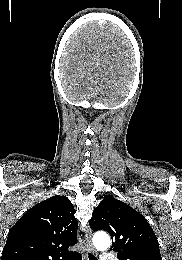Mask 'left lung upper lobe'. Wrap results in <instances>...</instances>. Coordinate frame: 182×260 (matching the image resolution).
I'll return each mask as SVG.
<instances>
[{
    "instance_id": "5c2ea615",
    "label": "left lung upper lobe",
    "mask_w": 182,
    "mask_h": 260,
    "mask_svg": "<svg viewBox=\"0 0 182 260\" xmlns=\"http://www.w3.org/2000/svg\"><path fill=\"white\" fill-rule=\"evenodd\" d=\"M89 225L110 234L119 260H162L157 237L144 216L112 196L95 208Z\"/></svg>"
}]
</instances>
